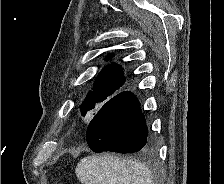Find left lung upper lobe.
<instances>
[{
	"label": "left lung upper lobe",
	"instance_id": "5c2ea615",
	"mask_svg": "<svg viewBox=\"0 0 224 184\" xmlns=\"http://www.w3.org/2000/svg\"><path fill=\"white\" fill-rule=\"evenodd\" d=\"M110 57L112 56L110 55ZM122 72L121 66L116 64L106 66L100 72L94 84L93 91L89 92L87 99L81 106L82 116H85L87 112L91 114V110L97 111L118 92L125 83Z\"/></svg>",
	"mask_w": 224,
	"mask_h": 184
}]
</instances>
